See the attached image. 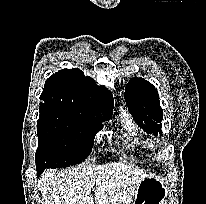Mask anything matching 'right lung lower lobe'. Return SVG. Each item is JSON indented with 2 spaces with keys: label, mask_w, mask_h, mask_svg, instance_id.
<instances>
[{
  "label": "right lung lower lobe",
  "mask_w": 206,
  "mask_h": 204,
  "mask_svg": "<svg viewBox=\"0 0 206 204\" xmlns=\"http://www.w3.org/2000/svg\"><path fill=\"white\" fill-rule=\"evenodd\" d=\"M36 170H37V177H39L42 174V172L45 170V168L36 167Z\"/></svg>",
  "instance_id": "right-lung-lower-lobe-1"
}]
</instances>
